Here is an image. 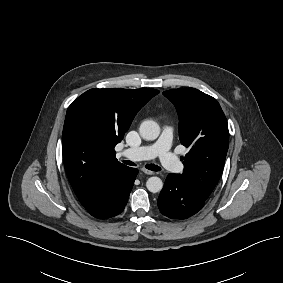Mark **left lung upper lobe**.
I'll use <instances>...</instances> for the list:
<instances>
[{
  "label": "left lung upper lobe",
  "instance_id": "left-lung-upper-lobe-1",
  "mask_svg": "<svg viewBox=\"0 0 283 283\" xmlns=\"http://www.w3.org/2000/svg\"><path fill=\"white\" fill-rule=\"evenodd\" d=\"M163 94L177 109L180 141L189 148L180 175L207 199L220 178L228 151L226 117L215 98L197 89H173Z\"/></svg>",
  "mask_w": 283,
  "mask_h": 283
}]
</instances>
